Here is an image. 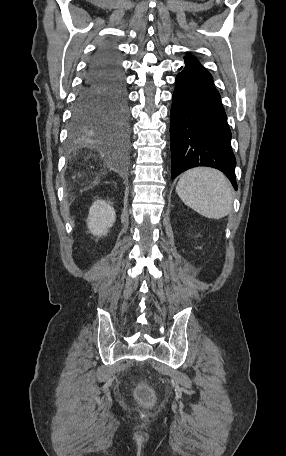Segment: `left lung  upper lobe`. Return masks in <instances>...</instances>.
Here are the masks:
<instances>
[{
  "mask_svg": "<svg viewBox=\"0 0 286 456\" xmlns=\"http://www.w3.org/2000/svg\"><path fill=\"white\" fill-rule=\"evenodd\" d=\"M184 59L188 60V59H194V58L191 56H186Z\"/></svg>",
  "mask_w": 286,
  "mask_h": 456,
  "instance_id": "1",
  "label": "left lung upper lobe"
}]
</instances>
